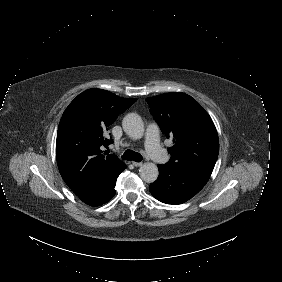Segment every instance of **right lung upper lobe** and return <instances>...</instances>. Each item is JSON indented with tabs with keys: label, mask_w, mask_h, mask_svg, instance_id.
<instances>
[{
	"label": "right lung upper lobe",
	"mask_w": 282,
	"mask_h": 282,
	"mask_svg": "<svg viewBox=\"0 0 282 282\" xmlns=\"http://www.w3.org/2000/svg\"><path fill=\"white\" fill-rule=\"evenodd\" d=\"M136 100L92 88L79 94L64 111L57 132L56 158L62 178L76 195L86 191L95 179L125 165L115 155L101 154L100 146L112 143L106 138L108 128Z\"/></svg>",
	"instance_id": "obj_1"
}]
</instances>
